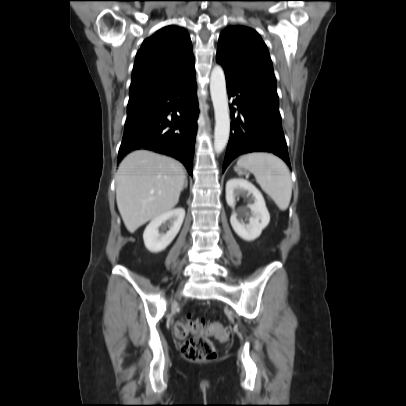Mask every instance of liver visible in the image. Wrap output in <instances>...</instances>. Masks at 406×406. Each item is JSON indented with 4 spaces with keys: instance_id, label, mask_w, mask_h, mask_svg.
Segmentation results:
<instances>
[{
    "instance_id": "6515ba94",
    "label": "liver",
    "mask_w": 406,
    "mask_h": 406,
    "mask_svg": "<svg viewBox=\"0 0 406 406\" xmlns=\"http://www.w3.org/2000/svg\"><path fill=\"white\" fill-rule=\"evenodd\" d=\"M183 165L165 155L137 150L120 163L116 201L130 233L174 208L185 183Z\"/></svg>"
}]
</instances>
